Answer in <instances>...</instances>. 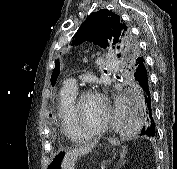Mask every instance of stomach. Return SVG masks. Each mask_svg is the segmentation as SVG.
Returning <instances> with one entry per match:
<instances>
[{
  "instance_id": "1",
  "label": "stomach",
  "mask_w": 177,
  "mask_h": 169,
  "mask_svg": "<svg viewBox=\"0 0 177 169\" xmlns=\"http://www.w3.org/2000/svg\"><path fill=\"white\" fill-rule=\"evenodd\" d=\"M63 157V153L55 154L48 165V169H62L61 165Z\"/></svg>"
}]
</instances>
